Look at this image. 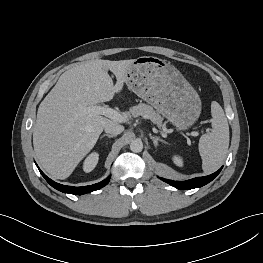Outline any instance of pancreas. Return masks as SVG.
<instances>
[{
    "instance_id": "cf45deb5",
    "label": "pancreas",
    "mask_w": 263,
    "mask_h": 263,
    "mask_svg": "<svg viewBox=\"0 0 263 263\" xmlns=\"http://www.w3.org/2000/svg\"><path fill=\"white\" fill-rule=\"evenodd\" d=\"M130 113L133 117L142 116L150 119L153 123L157 124L158 127H162V117L157 114L153 108L147 104L140 103L130 108Z\"/></svg>"
}]
</instances>
